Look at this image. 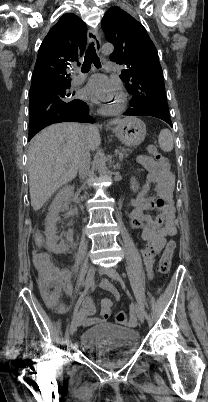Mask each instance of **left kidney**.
Listing matches in <instances>:
<instances>
[{"label":"left kidney","instance_id":"obj_1","mask_svg":"<svg viewBox=\"0 0 208 402\" xmlns=\"http://www.w3.org/2000/svg\"><path fill=\"white\" fill-rule=\"evenodd\" d=\"M131 188H132V190H134V192H135V190H138V184H137V182H135V178H132V180H131Z\"/></svg>","mask_w":208,"mask_h":402}]
</instances>
